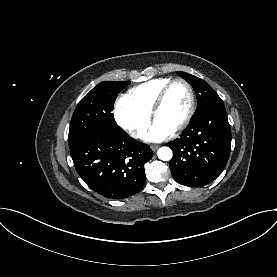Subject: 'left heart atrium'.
Segmentation results:
<instances>
[{
	"label": "left heart atrium",
	"instance_id": "1",
	"mask_svg": "<svg viewBox=\"0 0 277 277\" xmlns=\"http://www.w3.org/2000/svg\"><path fill=\"white\" fill-rule=\"evenodd\" d=\"M174 132V128L166 123L155 120L153 125L143 133L142 137L146 141L159 142L168 138Z\"/></svg>",
	"mask_w": 277,
	"mask_h": 277
}]
</instances>
